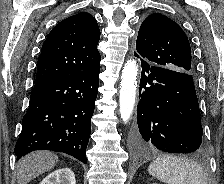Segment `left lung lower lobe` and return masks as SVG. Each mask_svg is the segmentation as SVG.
I'll list each match as a JSON object with an SVG mask.
<instances>
[{
  "instance_id": "1",
  "label": "left lung lower lobe",
  "mask_w": 224,
  "mask_h": 184,
  "mask_svg": "<svg viewBox=\"0 0 224 184\" xmlns=\"http://www.w3.org/2000/svg\"><path fill=\"white\" fill-rule=\"evenodd\" d=\"M141 66L137 148L184 154L202 152L203 129L192 75L142 60Z\"/></svg>"
}]
</instances>
